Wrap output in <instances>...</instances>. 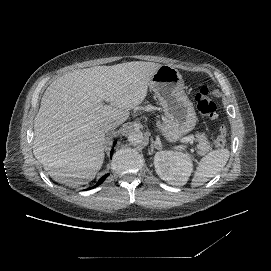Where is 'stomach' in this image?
<instances>
[{
	"mask_svg": "<svg viewBox=\"0 0 271 271\" xmlns=\"http://www.w3.org/2000/svg\"><path fill=\"white\" fill-rule=\"evenodd\" d=\"M148 85L163 108L166 121L160 125V130L168 141L175 142L194 129L196 113L184 92L182 75L175 67L162 65Z\"/></svg>",
	"mask_w": 271,
	"mask_h": 271,
	"instance_id": "1",
	"label": "stomach"
}]
</instances>
